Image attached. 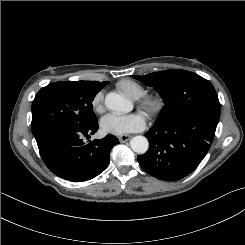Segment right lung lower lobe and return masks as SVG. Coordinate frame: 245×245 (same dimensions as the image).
<instances>
[{
  "label": "right lung lower lobe",
  "mask_w": 245,
  "mask_h": 245,
  "mask_svg": "<svg viewBox=\"0 0 245 245\" xmlns=\"http://www.w3.org/2000/svg\"><path fill=\"white\" fill-rule=\"evenodd\" d=\"M98 122L86 128L49 125L35 136L46 166L57 176L72 182L90 180L105 170L109 154L119 140L108 134L85 144L82 136L94 134Z\"/></svg>",
  "instance_id": "right-lung-lower-lobe-1"
}]
</instances>
